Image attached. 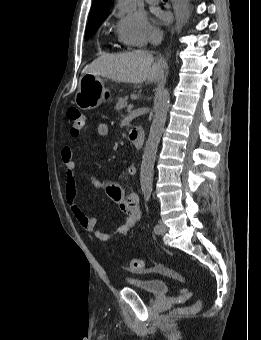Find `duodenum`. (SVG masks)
Segmentation results:
<instances>
[{
  "mask_svg": "<svg viewBox=\"0 0 261 340\" xmlns=\"http://www.w3.org/2000/svg\"><path fill=\"white\" fill-rule=\"evenodd\" d=\"M129 140L136 148H141L144 141V131L141 127L133 128L129 132Z\"/></svg>",
  "mask_w": 261,
  "mask_h": 340,
  "instance_id": "duodenum-1",
  "label": "duodenum"
}]
</instances>
